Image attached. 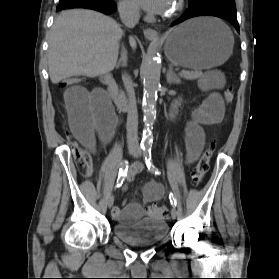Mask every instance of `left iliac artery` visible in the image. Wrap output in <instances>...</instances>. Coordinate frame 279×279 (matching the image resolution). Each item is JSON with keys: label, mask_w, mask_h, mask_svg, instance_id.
I'll list each match as a JSON object with an SVG mask.
<instances>
[{"label": "left iliac artery", "mask_w": 279, "mask_h": 279, "mask_svg": "<svg viewBox=\"0 0 279 279\" xmlns=\"http://www.w3.org/2000/svg\"><path fill=\"white\" fill-rule=\"evenodd\" d=\"M143 150H144V158H145V162H146V166H147L148 170L152 173L160 174L158 169L152 164L151 147H146ZM169 199H170L171 205L173 207H176L177 201L172 192H170V194H169Z\"/></svg>", "instance_id": "44dca946"}]
</instances>
